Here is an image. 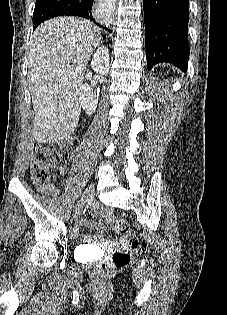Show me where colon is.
Instances as JSON below:
<instances>
[{
  "instance_id": "colon-1",
  "label": "colon",
  "mask_w": 227,
  "mask_h": 315,
  "mask_svg": "<svg viewBox=\"0 0 227 315\" xmlns=\"http://www.w3.org/2000/svg\"><path fill=\"white\" fill-rule=\"evenodd\" d=\"M79 140L76 136H69L63 139L55 140L50 143H36L32 152V180L36 187L45 189L49 185L51 174L57 167L70 161L76 151ZM112 230L131 240V247L135 249L138 241L134 232L129 228L126 221L119 218L111 220ZM132 260V251L120 250L113 256L101 262L97 271L101 277H106L115 269L127 266Z\"/></svg>"
}]
</instances>
